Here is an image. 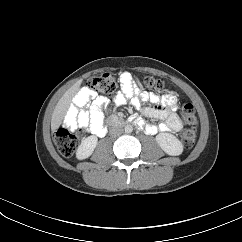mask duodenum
<instances>
[{
	"instance_id": "1",
	"label": "duodenum",
	"mask_w": 242,
	"mask_h": 242,
	"mask_svg": "<svg viewBox=\"0 0 242 242\" xmlns=\"http://www.w3.org/2000/svg\"><path fill=\"white\" fill-rule=\"evenodd\" d=\"M123 124H124V122L120 118H117V117H113L109 121L110 126H121ZM105 133H106V128H105V131H103V134H105Z\"/></svg>"
}]
</instances>
